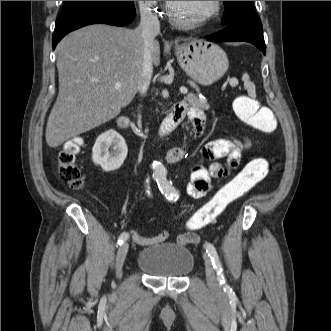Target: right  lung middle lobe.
Returning <instances> with one entry per match:
<instances>
[{
	"label": "right lung middle lobe",
	"mask_w": 331,
	"mask_h": 331,
	"mask_svg": "<svg viewBox=\"0 0 331 331\" xmlns=\"http://www.w3.org/2000/svg\"><path fill=\"white\" fill-rule=\"evenodd\" d=\"M120 2H125V1H64V5L60 17L72 14L76 11H80L88 7L110 4V3H120Z\"/></svg>",
	"instance_id": "dd1d6c3e"
}]
</instances>
